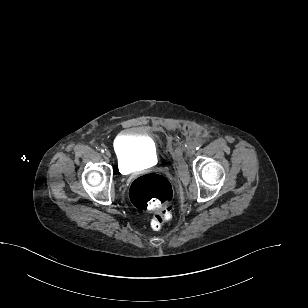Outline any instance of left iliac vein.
I'll return each mask as SVG.
<instances>
[{
    "label": "left iliac vein",
    "mask_w": 308,
    "mask_h": 308,
    "mask_svg": "<svg viewBox=\"0 0 308 308\" xmlns=\"http://www.w3.org/2000/svg\"><path fill=\"white\" fill-rule=\"evenodd\" d=\"M195 149H196V148H195L194 145L189 144L188 147H187V149H186L187 155L192 156V155L195 153Z\"/></svg>",
    "instance_id": "obj_1"
}]
</instances>
